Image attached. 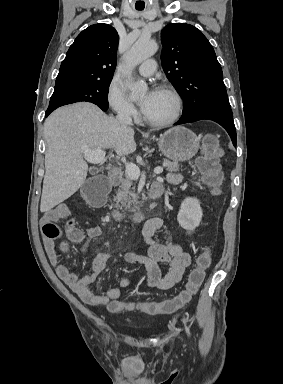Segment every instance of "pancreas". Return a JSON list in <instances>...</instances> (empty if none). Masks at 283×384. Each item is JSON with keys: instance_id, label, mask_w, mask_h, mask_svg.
Segmentation results:
<instances>
[{"instance_id": "cf45deb5", "label": "pancreas", "mask_w": 283, "mask_h": 384, "mask_svg": "<svg viewBox=\"0 0 283 384\" xmlns=\"http://www.w3.org/2000/svg\"><path fill=\"white\" fill-rule=\"evenodd\" d=\"M164 168H166L167 172H179V164L177 162H169V160H164L163 164ZM108 176L110 180L112 178H116L118 176L120 180V186L118 188V192L116 196H114V208H119V210H127V212H134L131 210V206H137V194H134L132 190L133 180H130L129 176H127L126 172H121V168H113V170H109Z\"/></svg>"}]
</instances>
